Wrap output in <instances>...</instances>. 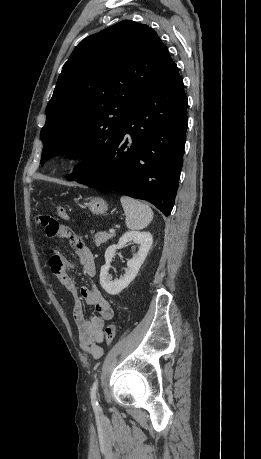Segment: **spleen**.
I'll list each match as a JSON object with an SVG mask.
<instances>
[{
  "label": "spleen",
  "mask_w": 261,
  "mask_h": 459,
  "mask_svg": "<svg viewBox=\"0 0 261 459\" xmlns=\"http://www.w3.org/2000/svg\"><path fill=\"white\" fill-rule=\"evenodd\" d=\"M126 216V226L131 230H141L149 225L153 219L151 208L138 200L128 196L120 198Z\"/></svg>",
  "instance_id": "obj_1"
}]
</instances>
